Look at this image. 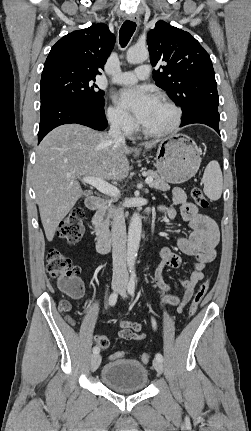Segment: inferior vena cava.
Returning <instances> with one entry per match:
<instances>
[{
  "label": "inferior vena cava",
  "instance_id": "602c4592",
  "mask_svg": "<svg viewBox=\"0 0 251 431\" xmlns=\"http://www.w3.org/2000/svg\"><path fill=\"white\" fill-rule=\"evenodd\" d=\"M108 135L115 143L125 144V136L121 132L119 120L112 122ZM112 258H113V279L128 280L126 267V225L124 213L118 208L113 213L111 228Z\"/></svg>",
  "mask_w": 251,
  "mask_h": 431
}]
</instances>
